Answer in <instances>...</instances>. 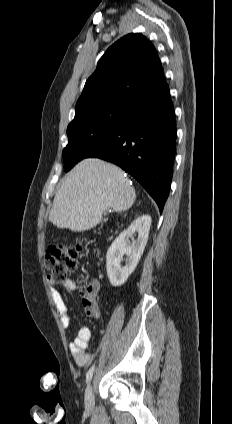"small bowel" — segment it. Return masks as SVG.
Here are the masks:
<instances>
[{
  "instance_id": "small-bowel-1",
  "label": "small bowel",
  "mask_w": 232,
  "mask_h": 424,
  "mask_svg": "<svg viewBox=\"0 0 232 424\" xmlns=\"http://www.w3.org/2000/svg\"><path fill=\"white\" fill-rule=\"evenodd\" d=\"M77 287L78 285L73 279H67L63 283V289L66 293L75 291ZM90 288L91 289L88 291V294L89 296L94 297L100 290V283L98 281H94L90 284ZM51 296L54 306L60 315L62 326L68 328L71 325V316L68 313V308L63 293L56 288H52ZM94 317H100V312L97 307H95ZM91 336V330L88 327H82L79 329L77 336L69 346L71 354L73 355L77 365L84 366L90 361L91 356L87 352V347L91 340Z\"/></svg>"
}]
</instances>
